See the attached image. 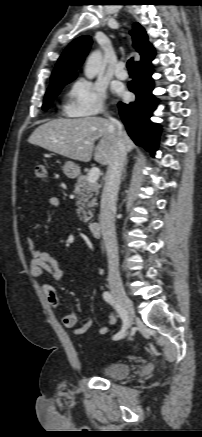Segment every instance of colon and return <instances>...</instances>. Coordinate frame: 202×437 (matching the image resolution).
I'll use <instances>...</instances> for the list:
<instances>
[{
  "mask_svg": "<svg viewBox=\"0 0 202 437\" xmlns=\"http://www.w3.org/2000/svg\"><path fill=\"white\" fill-rule=\"evenodd\" d=\"M46 175H47L46 166L41 162H37L33 168V176L37 179H44Z\"/></svg>",
  "mask_w": 202,
  "mask_h": 437,
  "instance_id": "colon-1",
  "label": "colon"
}]
</instances>
